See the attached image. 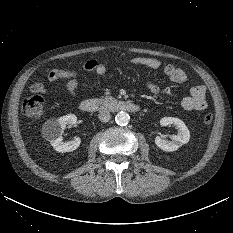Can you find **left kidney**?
I'll return each instance as SVG.
<instances>
[{
	"label": "left kidney",
	"instance_id": "left-kidney-1",
	"mask_svg": "<svg viewBox=\"0 0 233 233\" xmlns=\"http://www.w3.org/2000/svg\"><path fill=\"white\" fill-rule=\"evenodd\" d=\"M161 126L175 125L178 129L177 135H173L171 140H165L160 136L155 138V144L163 151L172 152L178 150L182 145L189 142L190 132L185 123L174 117H164L160 120Z\"/></svg>",
	"mask_w": 233,
	"mask_h": 233
}]
</instances>
